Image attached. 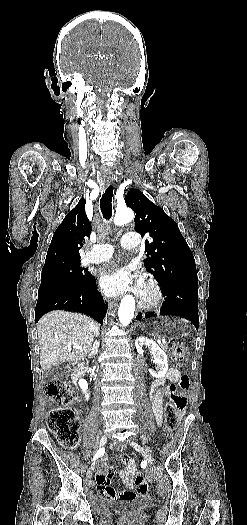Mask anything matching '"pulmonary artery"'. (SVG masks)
Wrapping results in <instances>:
<instances>
[{"label": "pulmonary artery", "instance_id": "e3ab8cb5", "mask_svg": "<svg viewBox=\"0 0 247 525\" xmlns=\"http://www.w3.org/2000/svg\"><path fill=\"white\" fill-rule=\"evenodd\" d=\"M120 244L123 248L133 249L140 247L142 244L141 236H133V231L125 233L121 239ZM87 254L83 261H94L97 264L104 262L105 257L107 260H110L108 256H114L116 251L114 249H109L107 244H100L97 248L91 247L88 249Z\"/></svg>", "mask_w": 247, "mask_h": 525}]
</instances>
